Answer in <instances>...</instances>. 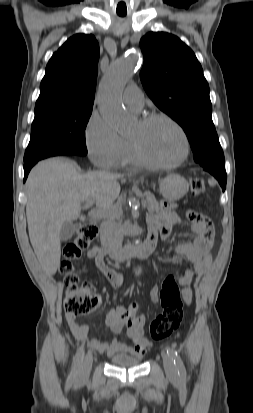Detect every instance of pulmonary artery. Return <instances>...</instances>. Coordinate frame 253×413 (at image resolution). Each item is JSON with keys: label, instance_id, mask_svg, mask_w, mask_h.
<instances>
[{"label": "pulmonary artery", "instance_id": "1", "mask_svg": "<svg viewBox=\"0 0 253 413\" xmlns=\"http://www.w3.org/2000/svg\"><path fill=\"white\" fill-rule=\"evenodd\" d=\"M123 100L126 106L134 112H139L144 104V97L141 90L134 85L128 86L125 89Z\"/></svg>", "mask_w": 253, "mask_h": 413}]
</instances>
